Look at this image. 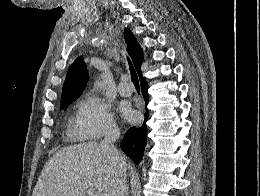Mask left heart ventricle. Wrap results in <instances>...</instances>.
I'll return each instance as SVG.
<instances>
[{
    "label": "left heart ventricle",
    "instance_id": "left-heart-ventricle-1",
    "mask_svg": "<svg viewBox=\"0 0 260 196\" xmlns=\"http://www.w3.org/2000/svg\"><path fill=\"white\" fill-rule=\"evenodd\" d=\"M96 191H101V192H103V191H106V190H96ZM55 192H66V190H55Z\"/></svg>",
    "mask_w": 260,
    "mask_h": 196
}]
</instances>
